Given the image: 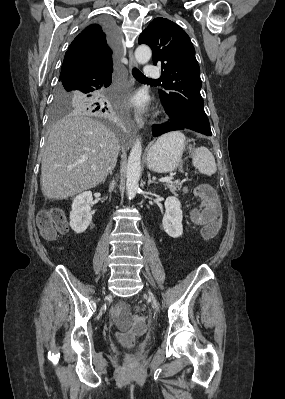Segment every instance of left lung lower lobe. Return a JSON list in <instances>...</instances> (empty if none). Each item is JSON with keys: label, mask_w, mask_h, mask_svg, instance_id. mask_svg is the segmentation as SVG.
Returning a JSON list of instances; mask_svg holds the SVG:
<instances>
[{"label": "left lung lower lobe", "mask_w": 285, "mask_h": 399, "mask_svg": "<svg viewBox=\"0 0 285 399\" xmlns=\"http://www.w3.org/2000/svg\"><path fill=\"white\" fill-rule=\"evenodd\" d=\"M165 110L168 113V115L170 116V121L165 123V124H162V125H154L152 127V134H153L154 137H158V136H160V135H162L164 133L170 132V131L193 130L192 128H190L186 124L174 121L172 119V116H171V114L168 111L166 106H165ZM193 131H195V130H193ZM207 136H211V135H207Z\"/></svg>", "instance_id": "1"}]
</instances>
